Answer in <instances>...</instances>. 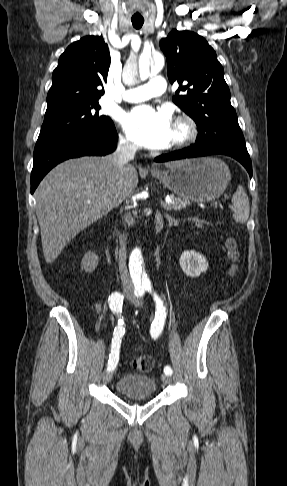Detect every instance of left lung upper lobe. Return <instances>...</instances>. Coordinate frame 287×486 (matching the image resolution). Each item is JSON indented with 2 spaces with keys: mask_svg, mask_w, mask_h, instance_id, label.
<instances>
[{
  "mask_svg": "<svg viewBox=\"0 0 287 486\" xmlns=\"http://www.w3.org/2000/svg\"><path fill=\"white\" fill-rule=\"evenodd\" d=\"M160 48L170 82L179 83L172 100L197 124L195 145L247 151L223 67L208 42L194 32L174 29L161 39Z\"/></svg>",
  "mask_w": 287,
  "mask_h": 486,
  "instance_id": "5c2ea615",
  "label": "left lung upper lobe"
}]
</instances>
